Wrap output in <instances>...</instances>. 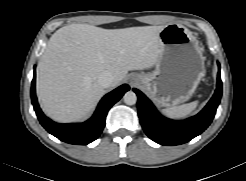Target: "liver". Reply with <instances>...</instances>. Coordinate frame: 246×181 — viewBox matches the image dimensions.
I'll list each match as a JSON object with an SVG mask.
<instances>
[{
    "label": "liver",
    "instance_id": "1",
    "mask_svg": "<svg viewBox=\"0 0 246 181\" xmlns=\"http://www.w3.org/2000/svg\"><path fill=\"white\" fill-rule=\"evenodd\" d=\"M163 28L103 29L70 24L58 29L38 65L36 89L43 111L62 123L85 118L104 94L97 82L103 71L113 74L115 87L128 71L157 63Z\"/></svg>",
    "mask_w": 246,
    "mask_h": 181
}]
</instances>
